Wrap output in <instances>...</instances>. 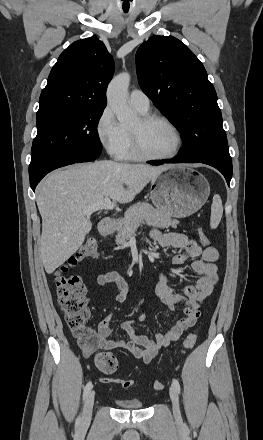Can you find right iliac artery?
<instances>
[{
    "label": "right iliac artery",
    "instance_id": "right-iliac-artery-1",
    "mask_svg": "<svg viewBox=\"0 0 263 440\" xmlns=\"http://www.w3.org/2000/svg\"><path fill=\"white\" fill-rule=\"evenodd\" d=\"M92 387H93L92 382H88L87 385H86L85 388H84V392H83V400L86 399V397L88 396V394H89L90 390L92 389ZM80 422H81V417L79 416V417L76 419V424L79 426V425H80Z\"/></svg>",
    "mask_w": 263,
    "mask_h": 440
}]
</instances>
